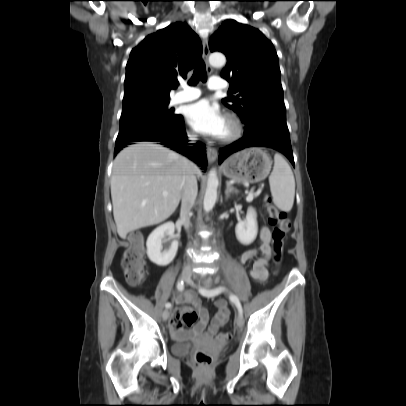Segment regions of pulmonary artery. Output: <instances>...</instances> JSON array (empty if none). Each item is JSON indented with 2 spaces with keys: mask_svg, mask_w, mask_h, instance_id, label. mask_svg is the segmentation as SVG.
Here are the masks:
<instances>
[{
  "mask_svg": "<svg viewBox=\"0 0 406 406\" xmlns=\"http://www.w3.org/2000/svg\"><path fill=\"white\" fill-rule=\"evenodd\" d=\"M226 82L220 77H211L208 82V88L211 90H224L226 88ZM201 91L195 87H183V89L177 92L171 99L172 104H181L193 101L199 98Z\"/></svg>",
  "mask_w": 406,
  "mask_h": 406,
  "instance_id": "pulmonary-artery-1",
  "label": "pulmonary artery"
}]
</instances>
